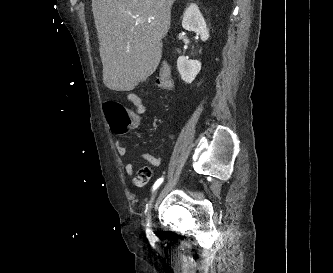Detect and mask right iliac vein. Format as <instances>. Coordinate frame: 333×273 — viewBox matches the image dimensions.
Wrapping results in <instances>:
<instances>
[{
  "label": "right iliac vein",
  "instance_id": "obj_1",
  "mask_svg": "<svg viewBox=\"0 0 333 273\" xmlns=\"http://www.w3.org/2000/svg\"><path fill=\"white\" fill-rule=\"evenodd\" d=\"M157 193H158V191H156L154 193V195L151 198L150 204H149L148 222L150 223L151 226H152V223H153V221H152V209H153L155 199L157 197Z\"/></svg>",
  "mask_w": 333,
  "mask_h": 273
}]
</instances>
